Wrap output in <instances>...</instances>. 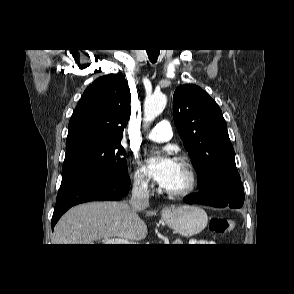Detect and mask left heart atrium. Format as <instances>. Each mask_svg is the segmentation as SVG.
Returning a JSON list of instances; mask_svg holds the SVG:
<instances>
[{
  "mask_svg": "<svg viewBox=\"0 0 294 294\" xmlns=\"http://www.w3.org/2000/svg\"><path fill=\"white\" fill-rule=\"evenodd\" d=\"M175 164V160L166 152L153 154L146 157L144 170L158 184L164 186L170 178Z\"/></svg>",
  "mask_w": 294,
  "mask_h": 294,
  "instance_id": "1",
  "label": "left heart atrium"
}]
</instances>
